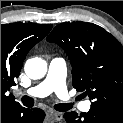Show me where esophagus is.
<instances>
[{
    "mask_svg": "<svg viewBox=\"0 0 123 123\" xmlns=\"http://www.w3.org/2000/svg\"><path fill=\"white\" fill-rule=\"evenodd\" d=\"M48 114L52 116L56 121H61L63 118V115L60 112H49Z\"/></svg>",
    "mask_w": 123,
    "mask_h": 123,
    "instance_id": "obj_1",
    "label": "esophagus"
}]
</instances>
